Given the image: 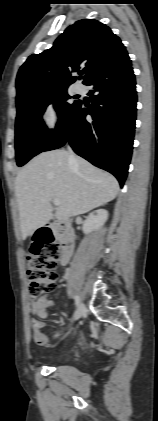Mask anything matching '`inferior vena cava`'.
Listing matches in <instances>:
<instances>
[{
	"label": "inferior vena cava",
	"mask_w": 158,
	"mask_h": 421,
	"mask_svg": "<svg viewBox=\"0 0 158 421\" xmlns=\"http://www.w3.org/2000/svg\"><path fill=\"white\" fill-rule=\"evenodd\" d=\"M68 151H69V162H70V163L75 162L76 157H75V155H74L73 151L71 150V148H69V147H68Z\"/></svg>",
	"instance_id": "602c4592"
}]
</instances>
